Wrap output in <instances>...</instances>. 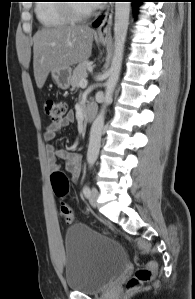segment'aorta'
<instances>
[{
    "instance_id": "aorta-1",
    "label": "aorta",
    "mask_w": 195,
    "mask_h": 299,
    "mask_svg": "<svg viewBox=\"0 0 195 299\" xmlns=\"http://www.w3.org/2000/svg\"><path fill=\"white\" fill-rule=\"evenodd\" d=\"M130 9V2L115 3L114 53L108 73V80L105 84L104 101L101 110L95 118L90 130L89 146L87 152L88 162H95L99 154L106 108L108 104L112 101L113 93L121 71L124 45L129 25Z\"/></svg>"
}]
</instances>
